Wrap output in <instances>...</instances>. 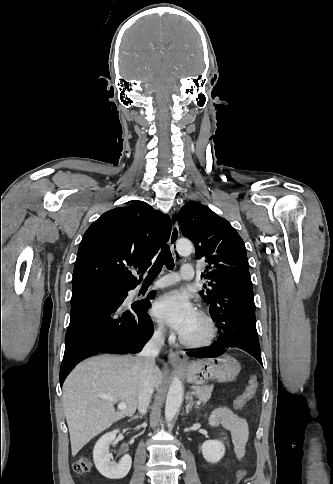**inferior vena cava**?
Here are the masks:
<instances>
[{"mask_svg": "<svg viewBox=\"0 0 333 484\" xmlns=\"http://www.w3.org/2000/svg\"><path fill=\"white\" fill-rule=\"evenodd\" d=\"M163 344V329L159 328L136 357V364L139 369L138 410L142 415L147 412L151 401L154 390L153 369L155 367V358Z\"/></svg>", "mask_w": 333, "mask_h": 484, "instance_id": "obj_1", "label": "inferior vena cava"}]
</instances>
